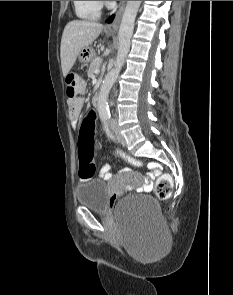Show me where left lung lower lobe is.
Instances as JSON below:
<instances>
[{
    "mask_svg": "<svg viewBox=\"0 0 233 295\" xmlns=\"http://www.w3.org/2000/svg\"><path fill=\"white\" fill-rule=\"evenodd\" d=\"M113 19H114V15L109 17L106 22L111 23L113 21Z\"/></svg>",
    "mask_w": 233,
    "mask_h": 295,
    "instance_id": "obj_1",
    "label": "left lung lower lobe"
}]
</instances>
